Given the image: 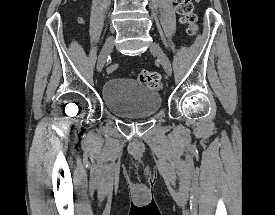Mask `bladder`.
<instances>
[{"label": "bladder", "mask_w": 275, "mask_h": 215, "mask_svg": "<svg viewBox=\"0 0 275 215\" xmlns=\"http://www.w3.org/2000/svg\"><path fill=\"white\" fill-rule=\"evenodd\" d=\"M102 101L108 111L122 118H147L161 107V95L131 79L111 78L102 86Z\"/></svg>", "instance_id": "1"}]
</instances>
